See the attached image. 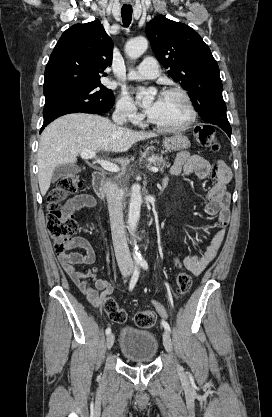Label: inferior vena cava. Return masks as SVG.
<instances>
[{"instance_id": "obj_1", "label": "inferior vena cava", "mask_w": 272, "mask_h": 417, "mask_svg": "<svg viewBox=\"0 0 272 417\" xmlns=\"http://www.w3.org/2000/svg\"><path fill=\"white\" fill-rule=\"evenodd\" d=\"M112 119L117 124H124L127 119L125 111L117 109L113 113ZM104 191L108 203L112 240L117 263L122 275L126 276L131 274L134 266L127 245L123 223L122 193L117 184L111 180L106 181L104 184Z\"/></svg>"}]
</instances>
